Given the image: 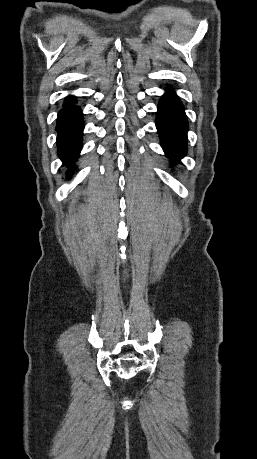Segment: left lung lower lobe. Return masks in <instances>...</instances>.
<instances>
[{
	"label": "left lung lower lobe",
	"instance_id": "1",
	"mask_svg": "<svg viewBox=\"0 0 257 459\" xmlns=\"http://www.w3.org/2000/svg\"><path fill=\"white\" fill-rule=\"evenodd\" d=\"M156 126L166 155L173 161L183 157L187 150L188 122L181 101L170 87L160 100Z\"/></svg>",
	"mask_w": 257,
	"mask_h": 459
}]
</instances>
